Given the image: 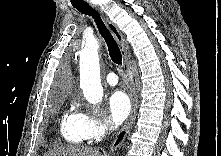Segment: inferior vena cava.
Instances as JSON below:
<instances>
[{
	"label": "inferior vena cava",
	"mask_w": 221,
	"mask_h": 156,
	"mask_svg": "<svg viewBox=\"0 0 221 156\" xmlns=\"http://www.w3.org/2000/svg\"><path fill=\"white\" fill-rule=\"evenodd\" d=\"M112 129H113V127L110 125V126H109V131H112Z\"/></svg>",
	"instance_id": "602c4592"
}]
</instances>
